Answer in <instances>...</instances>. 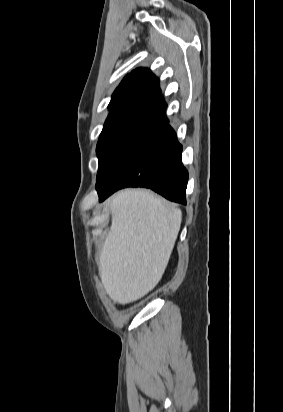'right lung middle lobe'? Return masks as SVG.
Here are the masks:
<instances>
[{
    "label": "right lung middle lobe",
    "instance_id": "1",
    "mask_svg": "<svg viewBox=\"0 0 283 412\" xmlns=\"http://www.w3.org/2000/svg\"><path fill=\"white\" fill-rule=\"evenodd\" d=\"M163 117L162 114H126L108 118L97 144L99 169L97 181L133 149L147 129Z\"/></svg>",
    "mask_w": 283,
    "mask_h": 412
}]
</instances>
